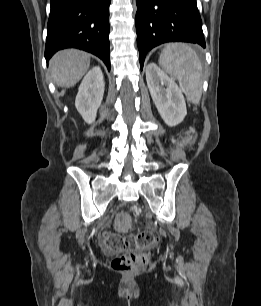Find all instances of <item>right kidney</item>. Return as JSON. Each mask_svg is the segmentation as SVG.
<instances>
[{
  "mask_svg": "<svg viewBox=\"0 0 261 306\" xmlns=\"http://www.w3.org/2000/svg\"><path fill=\"white\" fill-rule=\"evenodd\" d=\"M104 89L105 83L100 67L92 68L83 78L75 99V106L85 122L90 124L95 121Z\"/></svg>",
  "mask_w": 261,
  "mask_h": 306,
  "instance_id": "obj_1",
  "label": "right kidney"
}]
</instances>
